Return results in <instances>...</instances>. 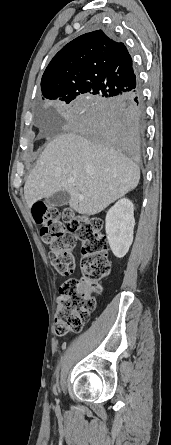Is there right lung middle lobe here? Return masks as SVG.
<instances>
[{
  "label": "right lung middle lobe",
  "instance_id": "1",
  "mask_svg": "<svg viewBox=\"0 0 171 445\" xmlns=\"http://www.w3.org/2000/svg\"><path fill=\"white\" fill-rule=\"evenodd\" d=\"M78 97L85 99V107L83 115L86 119H90V114L92 109L99 101H101L104 98L102 94L96 92H88V93L84 92V93L69 95L61 100L65 101L66 103H69Z\"/></svg>",
  "mask_w": 171,
  "mask_h": 445
}]
</instances>
